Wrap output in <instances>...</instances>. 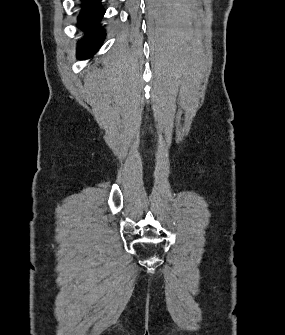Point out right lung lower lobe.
<instances>
[{"mask_svg":"<svg viewBox=\"0 0 285 335\" xmlns=\"http://www.w3.org/2000/svg\"><path fill=\"white\" fill-rule=\"evenodd\" d=\"M101 0H81L82 9L78 16V27L86 33L84 39L78 43L77 57L85 59L92 56L102 44L105 32L99 26L105 10Z\"/></svg>","mask_w":285,"mask_h":335,"instance_id":"obj_1","label":"right lung lower lobe"}]
</instances>
